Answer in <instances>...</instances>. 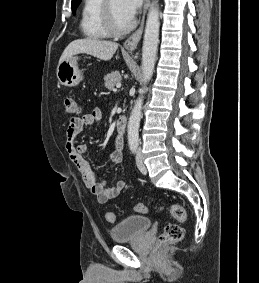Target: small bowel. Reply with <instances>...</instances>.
<instances>
[{
  "label": "small bowel",
  "instance_id": "1",
  "mask_svg": "<svg viewBox=\"0 0 259 283\" xmlns=\"http://www.w3.org/2000/svg\"><path fill=\"white\" fill-rule=\"evenodd\" d=\"M101 118L102 111L99 108H94L82 117L70 118L67 128L65 150L70 161L80 172L85 187L96 196L99 203H106L118 197L126 189L127 182L119 180L116 185L108 186L105 181H99L90 164L84 158V155L88 152V147L85 144L76 145L74 142L85 127L95 126L101 121ZM123 157V140L116 138L114 149L110 152L108 158L111 162L119 163L123 160Z\"/></svg>",
  "mask_w": 259,
  "mask_h": 283
}]
</instances>
